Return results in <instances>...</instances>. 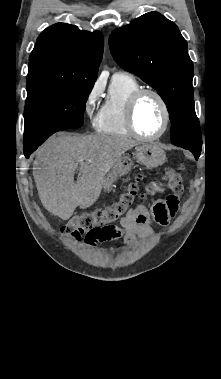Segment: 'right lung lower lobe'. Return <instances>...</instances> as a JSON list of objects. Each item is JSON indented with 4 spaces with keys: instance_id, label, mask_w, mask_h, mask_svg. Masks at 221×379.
Instances as JSON below:
<instances>
[{
    "instance_id": "98d812e1",
    "label": "right lung lower lobe",
    "mask_w": 221,
    "mask_h": 379,
    "mask_svg": "<svg viewBox=\"0 0 221 379\" xmlns=\"http://www.w3.org/2000/svg\"><path fill=\"white\" fill-rule=\"evenodd\" d=\"M43 142L39 143H26L24 142V155L26 158H29L30 154L37 149V147Z\"/></svg>"
}]
</instances>
